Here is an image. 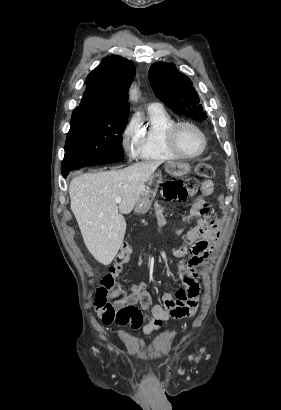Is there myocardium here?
<instances>
[{
	"instance_id": "myocardium-1",
	"label": "myocardium",
	"mask_w": 281,
	"mask_h": 410,
	"mask_svg": "<svg viewBox=\"0 0 281 410\" xmlns=\"http://www.w3.org/2000/svg\"><path fill=\"white\" fill-rule=\"evenodd\" d=\"M183 127H191L193 129H195L202 137V141H203V145L202 148L199 152L195 153V154H188L185 153L179 146L178 141H177V135L178 132L180 131L181 128ZM167 142L169 145V148L175 153L177 154L180 158H184V159H194L197 158L199 156H201L206 148H207V136L204 133V131L195 123L190 122V121H179V122H175L168 130L167 132Z\"/></svg>"
}]
</instances>
